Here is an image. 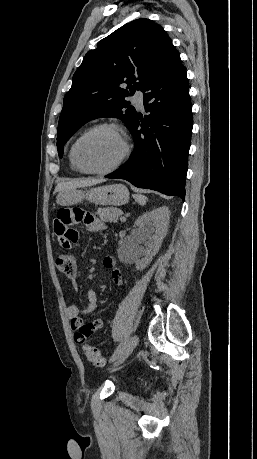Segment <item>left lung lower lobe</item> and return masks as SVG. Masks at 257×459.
I'll return each instance as SVG.
<instances>
[{"label":"left lung lower lobe","instance_id":"left-lung-lower-lobe-1","mask_svg":"<svg viewBox=\"0 0 257 459\" xmlns=\"http://www.w3.org/2000/svg\"><path fill=\"white\" fill-rule=\"evenodd\" d=\"M148 116L136 115L129 130L134 152L106 178H121L139 188L185 197L192 109L186 70L174 48L142 90Z\"/></svg>","mask_w":257,"mask_h":459}]
</instances>
